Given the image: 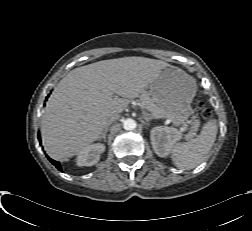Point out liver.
<instances>
[{
    "label": "liver",
    "instance_id": "liver-1",
    "mask_svg": "<svg viewBox=\"0 0 252 231\" xmlns=\"http://www.w3.org/2000/svg\"><path fill=\"white\" fill-rule=\"evenodd\" d=\"M167 66L161 60L133 56L70 71L54 89L42 116L46 153L65 161L99 140L107 117L127 108Z\"/></svg>",
    "mask_w": 252,
    "mask_h": 231
}]
</instances>
